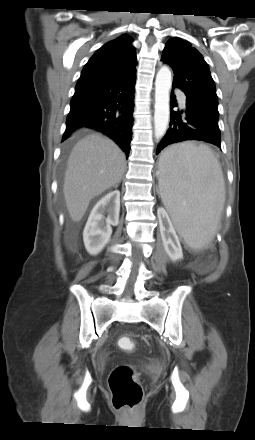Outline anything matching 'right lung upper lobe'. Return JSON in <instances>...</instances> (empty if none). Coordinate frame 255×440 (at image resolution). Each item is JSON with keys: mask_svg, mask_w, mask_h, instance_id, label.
I'll use <instances>...</instances> for the list:
<instances>
[{"mask_svg": "<svg viewBox=\"0 0 255 440\" xmlns=\"http://www.w3.org/2000/svg\"><path fill=\"white\" fill-rule=\"evenodd\" d=\"M126 34L98 49L84 66L75 90L103 84L135 70L136 52Z\"/></svg>", "mask_w": 255, "mask_h": 440, "instance_id": "right-lung-upper-lobe-1", "label": "right lung upper lobe"}]
</instances>
